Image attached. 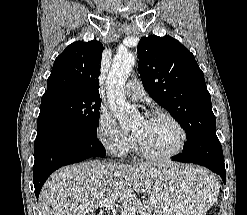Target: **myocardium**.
<instances>
[{
	"label": "myocardium",
	"instance_id": "1",
	"mask_svg": "<svg viewBox=\"0 0 247 215\" xmlns=\"http://www.w3.org/2000/svg\"><path fill=\"white\" fill-rule=\"evenodd\" d=\"M154 119H167L177 128L180 134V141H179L178 146L173 151L168 152V153H153V152H150L143 145V143L141 142V140L139 139L137 135L132 134L134 145H135L137 152L143 158L152 160V161H162V160H168V159L176 157L183 151L187 143V132L184 126L175 116L165 111H155L151 113L148 117V120H154Z\"/></svg>",
	"mask_w": 247,
	"mask_h": 215
}]
</instances>
